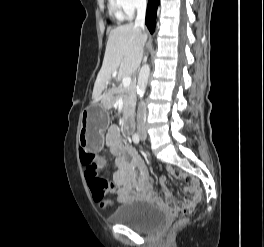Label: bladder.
<instances>
[{
	"label": "bladder",
	"mask_w": 264,
	"mask_h": 247,
	"mask_svg": "<svg viewBox=\"0 0 264 247\" xmlns=\"http://www.w3.org/2000/svg\"><path fill=\"white\" fill-rule=\"evenodd\" d=\"M110 218L136 231L148 233L165 224L166 212L150 202L133 200L119 206Z\"/></svg>",
	"instance_id": "1"
}]
</instances>
